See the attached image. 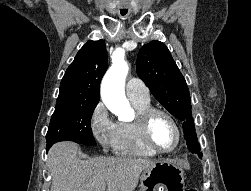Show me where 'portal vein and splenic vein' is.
I'll return each mask as SVG.
<instances>
[{"instance_id": "portal-vein-and-splenic-vein-1", "label": "portal vein and splenic vein", "mask_w": 251, "mask_h": 191, "mask_svg": "<svg viewBox=\"0 0 251 191\" xmlns=\"http://www.w3.org/2000/svg\"><path fill=\"white\" fill-rule=\"evenodd\" d=\"M105 185H99V187H97L98 191L99 189H104Z\"/></svg>"}]
</instances>
